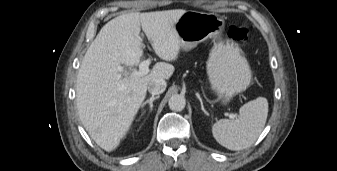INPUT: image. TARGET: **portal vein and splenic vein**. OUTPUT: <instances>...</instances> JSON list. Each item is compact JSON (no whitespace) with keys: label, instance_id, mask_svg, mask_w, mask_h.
Here are the masks:
<instances>
[{"label":"portal vein and splenic vein","instance_id":"obj_1","mask_svg":"<svg viewBox=\"0 0 337 171\" xmlns=\"http://www.w3.org/2000/svg\"><path fill=\"white\" fill-rule=\"evenodd\" d=\"M150 63H151L150 58H148V59L142 61V62L139 64V70H138V71H133V72L131 73V75H132V76H139V77H140V76H144V75L148 74ZM118 69H119L120 71H122V70H123V67H122V66H119ZM229 117H230L231 119H233V118H235V115H234V114H230Z\"/></svg>","mask_w":337,"mask_h":171}]
</instances>
